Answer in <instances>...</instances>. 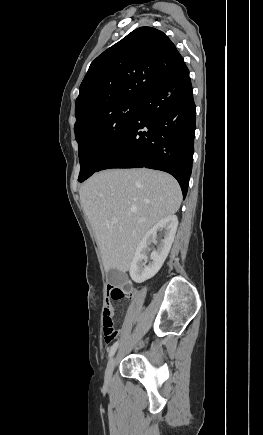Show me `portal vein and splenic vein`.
<instances>
[{"instance_id":"obj_1","label":"portal vein and splenic vein","mask_w":263,"mask_h":435,"mask_svg":"<svg viewBox=\"0 0 263 435\" xmlns=\"http://www.w3.org/2000/svg\"><path fill=\"white\" fill-rule=\"evenodd\" d=\"M113 222H114V223H118V220H117V219H113Z\"/></svg>"}]
</instances>
